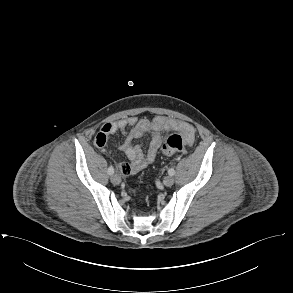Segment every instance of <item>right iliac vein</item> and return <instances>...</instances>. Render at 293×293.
<instances>
[{"label":"right iliac vein","instance_id":"63e3f726","mask_svg":"<svg viewBox=\"0 0 293 293\" xmlns=\"http://www.w3.org/2000/svg\"><path fill=\"white\" fill-rule=\"evenodd\" d=\"M110 180L114 185H118L121 182V178L118 174H112Z\"/></svg>","mask_w":293,"mask_h":293}]
</instances>
